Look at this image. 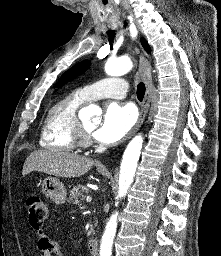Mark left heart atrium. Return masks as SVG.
Wrapping results in <instances>:
<instances>
[{"instance_id":"1","label":"left heart atrium","mask_w":221,"mask_h":256,"mask_svg":"<svg viewBox=\"0 0 221 256\" xmlns=\"http://www.w3.org/2000/svg\"><path fill=\"white\" fill-rule=\"evenodd\" d=\"M136 112L130 105L110 103L100 127L94 132L98 141L112 144L120 140L134 125Z\"/></svg>"}]
</instances>
